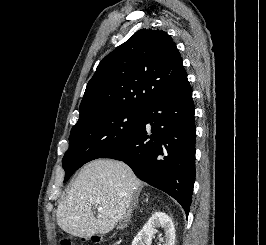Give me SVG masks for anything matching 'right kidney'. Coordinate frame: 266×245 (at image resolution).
Instances as JSON below:
<instances>
[{
    "label": "right kidney",
    "mask_w": 266,
    "mask_h": 245,
    "mask_svg": "<svg viewBox=\"0 0 266 245\" xmlns=\"http://www.w3.org/2000/svg\"><path fill=\"white\" fill-rule=\"evenodd\" d=\"M156 227L164 229V245H174L176 237L174 225L170 217L166 213H160V211L150 217L142 231L136 235L132 245H150L154 233H156Z\"/></svg>",
    "instance_id": "obj_1"
}]
</instances>
